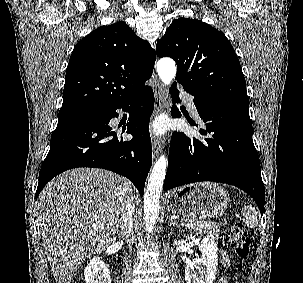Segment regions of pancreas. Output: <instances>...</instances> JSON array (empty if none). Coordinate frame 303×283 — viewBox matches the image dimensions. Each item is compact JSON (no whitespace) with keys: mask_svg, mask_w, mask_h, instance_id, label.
Listing matches in <instances>:
<instances>
[{"mask_svg":"<svg viewBox=\"0 0 303 283\" xmlns=\"http://www.w3.org/2000/svg\"><path fill=\"white\" fill-rule=\"evenodd\" d=\"M182 223L195 234L207 235V237L217 239L219 237V226L211 221H197L192 219H183ZM203 223V224H201Z\"/></svg>","mask_w":303,"mask_h":283,"instance_id":"pancreas-1","label":"pancreas"}]
</instances>
